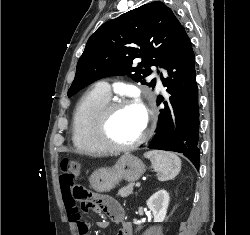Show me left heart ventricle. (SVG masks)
<instances>
[{
  "label": "left heart ventricle",
  "instance_id": "obj_1",
  "mask_svg": "<svg viewBox=\"0 0 250 235\" xmlns=\"http://www.w3.org/2000/svg\"><path fill=\"white\" fill-rule=\"evenodd\" d=\"M144 128L143 117L134 107L117 110L109 123L108 133L117 144H127L136 140Z\"/></svg>",
  "mask_w": 250,
  "mask_h": 235
}]
</instances>
